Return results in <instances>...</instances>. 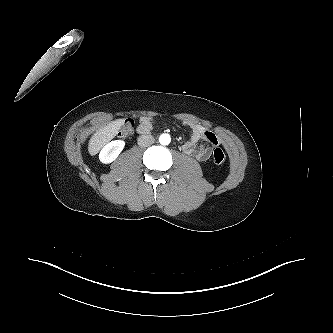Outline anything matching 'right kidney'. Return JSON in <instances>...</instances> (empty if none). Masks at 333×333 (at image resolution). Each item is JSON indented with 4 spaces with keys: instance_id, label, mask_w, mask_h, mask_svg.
I'll use <instances>...</instances> for the list:
<instances>
[{
    "instance_id": "1",
    "label": "right kidney",
    "mask_w": 333,
    "mask_h": 333,
    "mask_svg": "<svg viewBox=\"0 0 333 333\" xmlns=\"http://www.w3.org/2000/svg\"><path fill=\"white\" fill-rule=\"evenodd\" d=\"M125 146V142L123 140H115L111 141L107 145L103 147V149L99 153V160L104 164H108L113 162L121 153Z\"/></svg>"
}]
</instances>
